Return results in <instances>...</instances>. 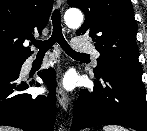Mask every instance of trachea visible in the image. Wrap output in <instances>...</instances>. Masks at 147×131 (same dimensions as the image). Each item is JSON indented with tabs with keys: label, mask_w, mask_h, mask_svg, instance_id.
<instances>
[{
	"label": "trachea",
	"mask_w": 147,
	"mask_h": 131,
	"mask_svg": "<svg viewBox=\"0 0 147 131\" xmlns=\"http://www.w3.org/2000/svg\"><path fill=\"white\" fill-rule=\"evenodd\" d=\"M53 32L47 40H33L32 43L39 49L38 54H45L55 43H58L60 47L71 57L79 58L85 57L87 54L78 53L74 51L65 40L62 34L61 27V15L58 9H55L52 14Z\"/></svg>",
	"instance_id": "1"
}]
</instances>
